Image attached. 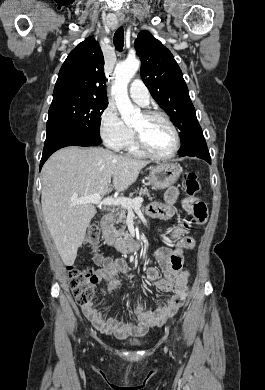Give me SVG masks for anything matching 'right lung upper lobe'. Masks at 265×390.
<instances>
[{
    "label": "right lung upper lobe",
    "instance_id": "cb5924a9",
    "mask_svg": "<svg viewBox=\"0 0 265 390\" xmlns=\"http://www.w3.org/2000/svg\"><path fill=\"white\" fill-rule=\"evenodd\" d=\"M104 57L99 43L89 37L73 49L63 63L53 91V100L93 98L108 101Z\"/></svg>",
    "mask_w": 265,
    "mask_h": 390
}]
</instances>
